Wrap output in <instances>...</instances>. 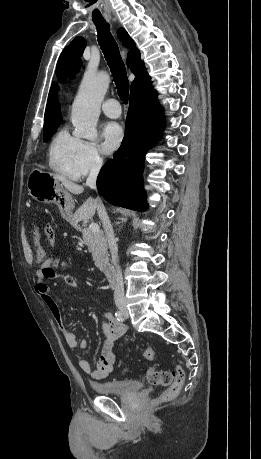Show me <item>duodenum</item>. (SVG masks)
<instances>
[{
  "instance_id": "duodenum-1",
  "label": "duodenum",
  "mask_w": 261,
  "mask_h": 459,
  "mask_svg": "<svg viewBox=\"0 0 261 459\" xmlns=\"http://www.w3.org/2000/svg\"><path fill=\"white\" fill-rule=\"evenodd\" d=\"M104 273L109 281H113L115 278V269L112 264L106 263L103 267Z\"/></svg>"
}]
</instances>
